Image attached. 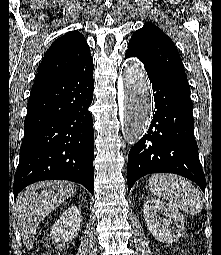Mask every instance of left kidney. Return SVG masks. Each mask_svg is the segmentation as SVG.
<instances>
[{
	"instance_id": "5707ae66",
	"label": "left kidney",
	"mask_w": 221,
	"mask_h": 255,
	"mask_svg": "<svg viewBox=\"0 0 221 255\" xmlns=\"http://www.w3.org/2000/svg\"><path fill=\"white\" fill-rule=\"evenodd\" d=\"M147 227L160 242L177 241L184 231V216L177 207L159 199L145 202L143 207Z\"/></svg>"
}]
</instances>
